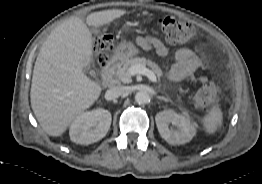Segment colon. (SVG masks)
Wrapping results in <instances>:
<instances>
[{"label":"colon","mask_w":262,"mask_h":184,"mask_svg":"<svg viewBox=\"0 0 262 184\" xmlns=\"http://www.w3.org/2000/svg\"><path fill=\"white\" fill-rule=\"evenodd\" d=\"M157 23L166 40L172 44H186L195 35V27L186 21L170 16H162ZM94 47L96 50V61L100 67H105L110 61V50L113 47V38L105 31L97 30L94 35ZM216 97V89L208 80H203L195 93L194 105L206 112Z\"/></svg>","instance_id":"colon-1"}]
</instances>
